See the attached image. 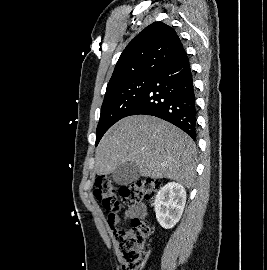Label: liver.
Returning a JSON list of instances; mask_svg holds the SVG:
<instances>
[{"mask_svg": "<svg viewBox=\"0 0 267 270\" xmlns=\"http://www.w3.org/2000/svg\"><path fill=\"white\" fill-rule=\"evenodd\" d=\"M196 145L182 130L148 115L121 119L101 139L95 153V172L108 175L120 165L135 163L140 175L168 178L192 186Z\"/></svg>", "mask_w": 267, "mask_h": 270, "instance_id": "1", "label": "liver"}]
</instances>
